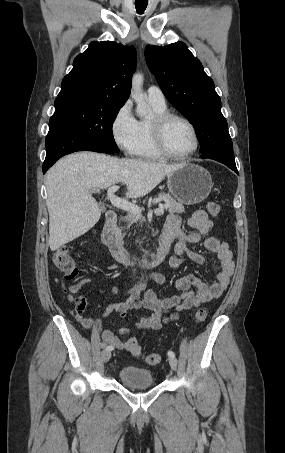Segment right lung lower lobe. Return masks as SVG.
<instances>
[{"label":"right lung lower lobe","instance_id":"1","mask_svg":"<svg viewBox=\"0 0 285 453\" xmlns=\"http://www.w3.org/2000/svg\"><path fill=\"white\" fill-rule=\"evenodd\" d=\"M46 158L43 163L45 173L59 158L76 151H94L112 153L102 149L95 142L79 134L70 126L60 121L49 122V132L46 137Z\"/></svg>","mask_w":285,"mask_h":453}]
</instances>
